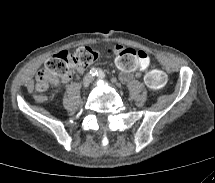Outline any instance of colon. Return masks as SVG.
<instances>
[{
  "mask_svg": "<svg viewBox=\"0 0 215 183\" xmlns=\"http://www.w3.org/2000/svg\"><path fill=\"white\" fill-rule=\"evenodd\" d=\"M99 57L100 54L89 47H81L72 53L61 51L48 59L43 78L59 79L72 69L83 70L97 61ZM145 82L152 89H160L166 83V75L159 69H153L146 73Z\"/></svg>",
  "mask_w": 215,
  "mask_h": 183,
  "instance_id": "5ec220e1",
  "label": "colon"
}]
</instances>
